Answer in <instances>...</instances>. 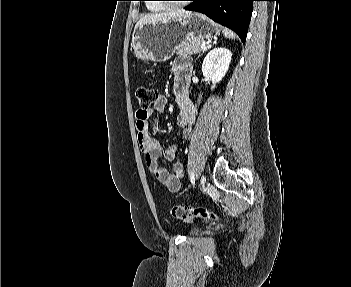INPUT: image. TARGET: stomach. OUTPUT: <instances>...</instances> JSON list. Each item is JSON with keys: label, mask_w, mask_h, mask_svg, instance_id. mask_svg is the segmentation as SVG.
<instances>
[{"label": "stomach", "mask_w": 351, "mask_h": 287, "mask_svg": "<svg viewBox=\"0 0 351 287\" xmlns=\"http://www.w3.org/2000/svg\"><path fill=\"white\" fill-rule=\"evenodd\" d=\"M219 33L218 24L199 13H193L166 23L139 25L132 35V48L138 59L164 62L173 56L178 45L195 39H211Z\"/></svg>", "instance_id": "obj_1"}]
</instances>
